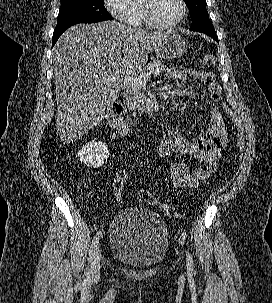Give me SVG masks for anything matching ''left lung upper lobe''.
Segmentation results:
<instances>
[{
    "mask_svg": "<svg viewBox=\"0 0 272 303\" xmlns=\"http://www.w3.org/2000/svg\"><path fill=\"white\" fill-rule=\"evenodd\" d=\"M188 6L192 20L191 31H214L206 10V0H184Z\"/></svg>",
    "mask_w": 272,
    "mask_h": 303,
    "instance_id": "obj_1",
    "label": "left lung upper lobe"
}]
</instances>
